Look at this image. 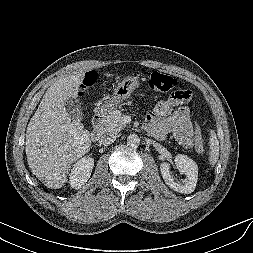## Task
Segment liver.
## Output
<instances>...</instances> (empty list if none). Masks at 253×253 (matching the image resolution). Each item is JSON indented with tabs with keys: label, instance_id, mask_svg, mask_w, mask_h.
Instances as JSON below:
<instances>
[{
	"label": "liver",
	"instance_id": "obj_1",
	"mask_svg": "<svg viewBox=\"0 0 253 253\" xmlns=\"http://www.w3.org/2000/svg\"><path fill=\"white\" fill-rule=\"evenodd\" d=\"M86 68L55 81L45 92L26 131L25 151L31 172L48 188L59 189L78 159L91 147V133L72 120L65 101L78 98ZM111 76V74H106Z\"/></svg>",
	"mask_w": 253,
	"mask_h": 253
}]
</instances>
